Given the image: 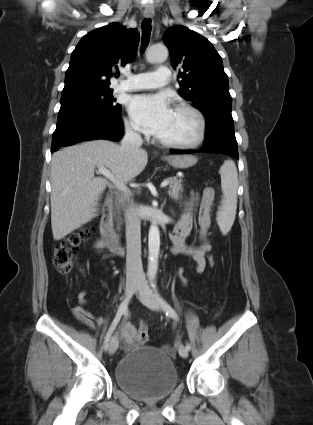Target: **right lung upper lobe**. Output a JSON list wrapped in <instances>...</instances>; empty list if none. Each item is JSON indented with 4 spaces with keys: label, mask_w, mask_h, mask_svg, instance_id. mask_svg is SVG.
I'll return each instance as SVG.
<instances>
[{
    "label": "right lung upper lobe",
    "mask_w": 313,
    "mask_h": 425,
    "mask_svg": "<svg viewBox=\"0 0 313 425\" xmlns=\"http://www.w3.org/2000/svg\"><path fill=\"white\" fill-rule=\"evenodd\" d=\"M138 44L139 32L118 23L87 33L71 54L62 94L109 88L110 77L116 70L119 73L118 65L124 66L135 59Z\"/></svg>",
    "instance_id": "right-lung-upper-lobe-1"
}]
</instances>
